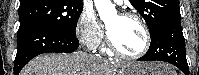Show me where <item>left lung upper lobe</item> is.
<instances>
[{
  "instance_id": "1",
  "label": "left lung upper lobe",
  "mask_w": 199,
  "mask_h": 75,
  "mask_svg": "<svg viewBox=\"0 0 199 75\" xmlns=\"http://www.w3.org/2000/svg\"><path fill=\"white\" fill-rule=\"evenodd\" d=\"M146 21L151 37L172 18H180L179 0H130Z\"/></svg>"
}]
</instances>
